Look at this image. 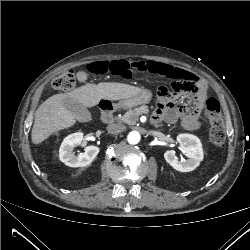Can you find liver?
<instances>
[{"mask_svg":"<svg viewBox=\"0 0 250 250\" xmlns=\"http://www.w3.org/2000/svg\"><path fill=\"white\" fill-rule=\"evenodd\" d=\"M142 88L116 82L85 84L67 93L55 94L44 101L36 110L31 139L34 144L42 143L57 131L72 127L76 118L64 107L63 100L73 99L85 107H94L100 100L116 101L140 93Z\"/></svg>","mask_w":250,"mask_h":250,"instance_id":"liver-1","label":"liver"}]
</instances>
